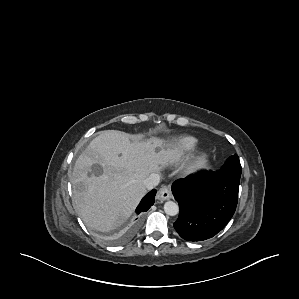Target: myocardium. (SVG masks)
<instances>
[{
  "mask_svg": "<svg viewBox=\"0 0 299 299\" xmlns=\"http://www.w3.org/2000/svg\"><path fill=\"white\" fill-rule=\"evenodd\" d=\"M206 155L205 154H201L198 156L197 160H196V164H200L203 162V160L205 159Z\"/></svg>",
  "mask_w": 299,
  "mask_h": 299,
  "instance_id": "f54148a6",
  "label": "myocardium"
}]
</instances>
